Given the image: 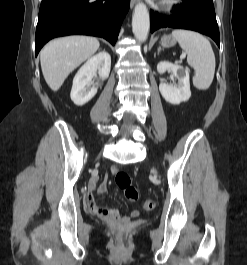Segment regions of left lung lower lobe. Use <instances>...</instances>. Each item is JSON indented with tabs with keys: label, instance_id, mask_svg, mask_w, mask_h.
<instances>
[{
	"label": "left lung lower lobe",
	"instance_id": "obj_1",
	"mask_svg": "<svg viewBox=\"0 0 247 265\" xmlns=\"http://www.w3.org/2000/svg\"><path fill=\"white\" fill-rule=\"evenodd\" d=\"M175 14L162 16L150 11V30L172 27L210 36L220 46L219 29L212 0H182Z\"/></svg>",
	"mask_w": 247,
	"mask_h": 265
}]
</instances>
